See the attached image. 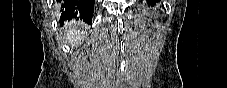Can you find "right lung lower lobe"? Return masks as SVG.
<instances>
[{"label":"right lung lower lobe","mask_w":227,"mask_h":88,"mask_svg":"<svg viewBox=\"0 0 227 88\" xmlns=\"http://www.w3.org/2000/svg\"><path fill=\"white\" fill-rule=\"evenodd\" d=\"M62 20H81L91 25L95 0H60Z\"/></svg>","instance_id":"1"}]
</instances>
